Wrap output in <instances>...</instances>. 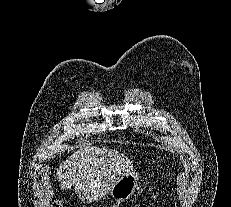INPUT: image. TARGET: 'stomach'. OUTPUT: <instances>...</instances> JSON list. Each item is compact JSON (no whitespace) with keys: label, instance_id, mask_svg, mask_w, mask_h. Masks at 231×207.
I'll list each match as a JSON object with an SVG mask.
<instances>
[{"label":"stomach","instance_id":"stomach-1","mask_svg":"<svg viewBox=\"0 0 231 207\" xmlns=\"http://www.w3.org/2000/svg\"><path fill=\"white\" fill-rule=\"evenodd\" d=\"M139 177L135 173H127L123 175L114 184L109 195L116 202H124L132 197L136 191Z\"/></svg>","mask_w":231,"mask_h":207}]
</instances>
